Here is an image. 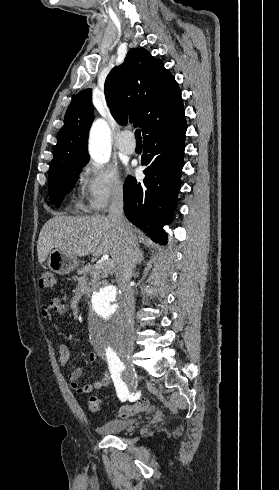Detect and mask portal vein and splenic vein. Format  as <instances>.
Wrapping results in <instances>:
<instances>
[{"label": "portal vein and splenic vein", "mask_w": 279, "mask_h": 490, "mask_svg": "<svg viewBox=\"0 0 279 490\" xmlns=\"http://www.w3.org/2000/svg\"><path fill=\"white\" fill-rule=\"evenodd\" d=\"M105 260H107V262H102V264H108V266H114L112 260H109V256H106Z\"/></svg>", "instance_id": "1"}]
</instances>
